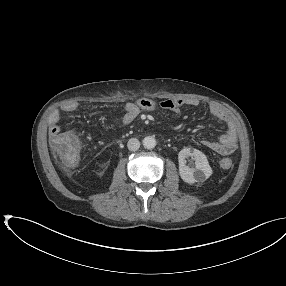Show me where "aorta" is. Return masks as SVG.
<instances>
[{
	"instance_id": "1",
	"label": "aorta",
	"mask_w": 286,
	"mask_h": 286,
	"mask_svg": "<svg viewBox=\"0 0 286 286\" xmlns=\"http://www.w3.org/2000/svg\"><path fill=\"white\" fill-rule=\"evenodd\" d=\"M144 148L153 149L156 146V140L152 136H147L142 141Z\"/></svg>"
}]
</instances>
